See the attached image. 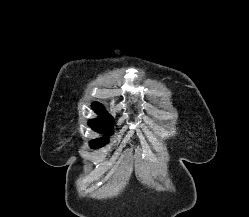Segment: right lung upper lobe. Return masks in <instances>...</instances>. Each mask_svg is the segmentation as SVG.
I'll return each instance as SVG.
<instances>
[{
	"instance_id": "obj_1",
	"label": "right lung upper lobe",
	"mask_w": 249,
	"mask_h": 217,
	"mask_svg": "<svg viewBox=\"0 0 249 217\" xmlns=\"http://www.w3.org/2000/svg\"><path fill=\"white\" fill-rule=\"evenodd\" d=\"M92 108L97 112V113H100V114H104L106 112L104 106L100 103H93L92 104ZM105 118H109V119H112L109 115H105L104 116Z\"/></svg>"
}]
</instances>
